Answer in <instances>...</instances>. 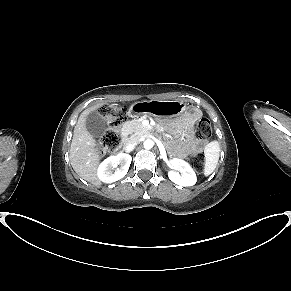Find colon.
Here are the masks:
<instances>
[{
  "mask_svg": "<svg viewBox=\"0 0 291 291\" xmlns=\"http://www.w3.org/2000/svg\"><path fill=\"white\" fill-rule=\"evenodd\" d=\"M100 115L107 122L109 128L104 132L98 142L99 150L102 153L113 152L120 143L121 137L119 133L120 126L127 119V110L121 106L110 105L100 108ZM194 137L199 143L205 142L211 135V126L208 119H200L193 131ZM192 162L196 169L200 170L203 167L204 156L197 152L191 156Z\"/></svg>",
  "mask_w": 291,
  "mask_h": 291,
  "instance_id": "colon-1",
  "label": "colon"
}]
</instances>
